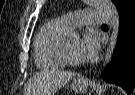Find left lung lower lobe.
Here are the masks:
<instances>
[{
	"label": "left lung lower lobe",
	"instance_id": "0a47b994",
	"mask_svg": "<svg viewBox=\"0 0 135 95\" xmlns=\"http://www.w3.org/2000/svg\"><path fill=\"white\" fill-rule=\"evenodd\" d=\"M119 23L113 59L102 76L131 94L132 86L135 85V7L123 14Z\"/></svg>",
	"mask_w": 135,
	"mask_h": 95
}]
</instances>
